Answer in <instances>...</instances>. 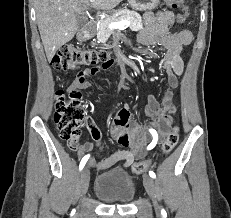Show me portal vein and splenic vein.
Returning <instances> with one entry per match:
<instances>
[{"label": "portal vein and splenic vein", "mask_w": 231, "mask_h": 218, "mask_svg": "<svg viewBox=\"0 0 231 218\" xmlns=\"http://www.w3.org/2000/svg\"><path fill=\"white\" fill-rule=\"evenodd\" d=\"M90 1L93 2L94 0H90ZM129 25H130V23L126 20L120 21V22H111L108 24V26L110 28H123V27H127Z\"/></svg>", "instance_id": "obj_1"}]
</instances>
